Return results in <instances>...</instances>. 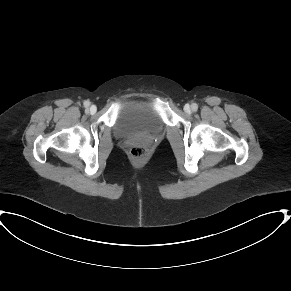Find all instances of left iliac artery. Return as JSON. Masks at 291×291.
<instances>
[{"label":"left iliac artery","instance_id":"obj_1","mask_svg":"<svg viewBox=\"0 0 291 291\" xmlns=\"http://www.w3.org/2000/svg\"><path fill=\"white\" fill-rule=\"evenodd\" d=\"M191 108H192L193 111H197V109H198V105H197L196 103H193V104L191 105Z\"/></svg>","mask_w":291,"mask_h":291}]
</instances>
